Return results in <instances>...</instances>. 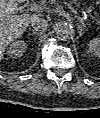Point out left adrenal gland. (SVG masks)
I'll list each match as a JSON object with an SVG mask.
<instances>
[{
	"instance_id": "left-adrenal-gland-1",
	"label": "left adrenal gland",
	"mask_w": 100,
	"mask_h": 118,
	"mask_svg": "<svg viewBox=\"0 0 100 118\" xmlns=\"http://www.w3.org/2000/svg\"><path fill=\"white\" fill-rule=\"evenodd\" d=\"M87 29L82 27L81 25H78V35L81 37L84 33H86Z\"/></svg>"
}]
</instances>
